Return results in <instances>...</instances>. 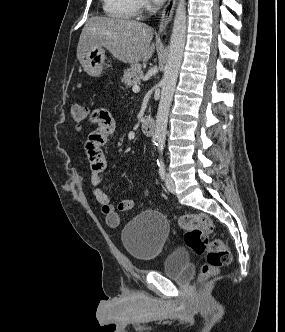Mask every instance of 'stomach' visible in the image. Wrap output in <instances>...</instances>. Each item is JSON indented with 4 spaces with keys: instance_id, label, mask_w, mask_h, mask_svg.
Returning <instances> with one entry per match:
<instances>
[{
    "instance_id": "obj_1",
    "label": "stomach",
    "mask_w": 285,
    "mask_h": 332,
    "mask_svg": "<svg viewBox=\"0 0 285 332\" xmlns=\"http://www.w3.org/2000/svg\"><path fill=\"white\" fill-rule=\"evenodd\" d=\"M105 60L104 49L100 46H95L93 48H87L84 51L80 63L90 76L99 77L103 72Z\"/></svg>"
}]
</instances>
